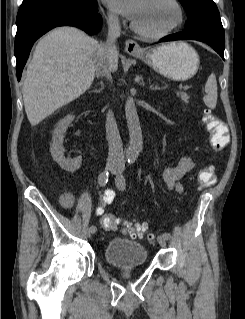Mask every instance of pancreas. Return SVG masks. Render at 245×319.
<instances>
[{"label": "pancreas", "mask_w": 245, "mask_h": 319, "mask_svg": "<svg viewBox=\"0 0 245 319\" xmlns=\"http://www.w3.org/2000/svg\"><path fill=\"white\" fill-rule=\"evenodd\" d=\"M183 102H188L189 96L185 93H180L177 95Z\"/></svg>", "instance_id": "obj_1"}]
</instances>
